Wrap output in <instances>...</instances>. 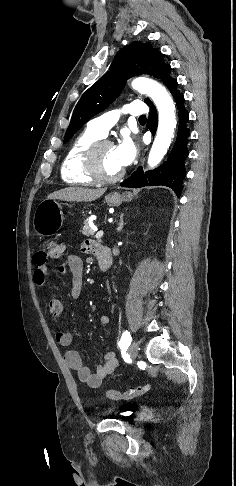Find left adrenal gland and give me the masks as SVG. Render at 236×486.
I'll return each instance as SVG.
<instances>
[{
	"label": "left adrenal gland",
	"mask_w": 236,
	"mask_h": 486,
	"mask_svg": "<svg viewBox=\"0 0 236 486\" xmlns=\"http://www.w3.org/2000/svg\"><path fill=\"white\" fill-rule=\"evenodd\" d=\"M125 225L124 221H123V214H121L120 216V221L118 223V227H117V231L120 232L122 229H123V226Z\"/></svg>",
	"instance_id": "a2214340"
}]
</instances>
